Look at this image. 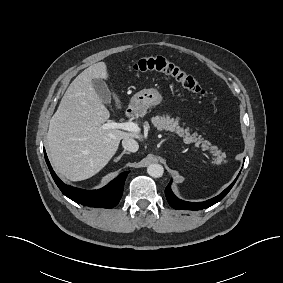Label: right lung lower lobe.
Returning a JSON list of instances; mask_svg holds the SVG:
<instances>
[{"label": "right lung lower lobe", "instance_id": "1", "mask_svg": "<svg viewBox=\"0 0 283 283\" xmlns=\"http://www.w3.org/2000/svg\"><path fill=\"white\" fill-rule=\"evenodd\" d=\"M44 155L46 163L55 183L62 191V193L71 200L82 205L97 208H112L116 206L120 201L123 193L125 179L129 171L121 173L108 185L99 190H83L65 185L53 171L45 150Z\"/></svg>", "mask_w": 283, "mask_h": 283}]
</instances>
